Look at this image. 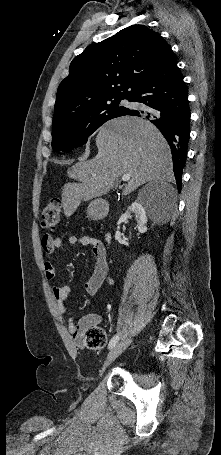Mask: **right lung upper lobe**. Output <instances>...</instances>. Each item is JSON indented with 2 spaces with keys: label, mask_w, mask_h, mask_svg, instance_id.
<instances>
[{
  "label": "right lung upper lobe",
  "mask_w": 221,
  "mask_h": 455,
  "mask_svg": "<svg viewBox=\"0 0 221 455\" xmlns=\"http://www.w3.org/2000/svg\"><path fill=\"white\" fill-rule=\"evenodd\" d=\"M170 45L144 25H132L88 46L57 91L53 123L114 98H130Z\"/></svg>",
  "instance_id": "1"
}]
</instances>
